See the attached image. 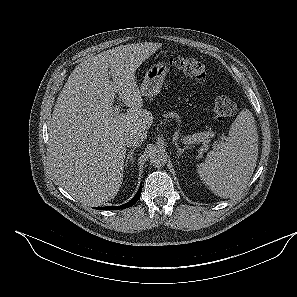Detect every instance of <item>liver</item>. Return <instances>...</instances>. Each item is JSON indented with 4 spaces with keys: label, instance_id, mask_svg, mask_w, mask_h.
<instances>
[{
    "label": "liver",
    "instance_id": "1",
    "mask_svg": "<svg viewBox=\"0 0 297 297\" xmlns=\"http://www.w3.org/2000/svg\"><path fill=\"white\" fill-rule=\"evenodd\" d=\"M161 46L127 44L91 56L73 70L57 98L48 127L51 165L60 185L86 206L117 195L125 137L147 136L153 117L143 109L135 72ZM117 93L129 107L126 113L114 112Z\"/></svg>",
    "mask_w": 297,
    "mask_h": 297
}]
</instances>
